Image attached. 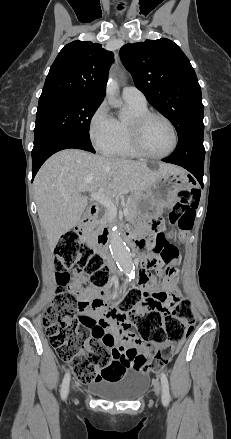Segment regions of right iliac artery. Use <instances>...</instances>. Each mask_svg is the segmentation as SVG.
Wrapping results in <instances>:
<instances>
[{
  "label": "right iliac artery",
  "mask_w": 231,
  "mask_h": 439,
  "mask_svg": "<svg viewBox=\"0 0 231 439\" xmlns=\"http://www.w3.org/2000/svg\"><path fill=\"white\" fill-rule=\"evenodd\" d=\"M69 383H70V373H66V375L64 376L62 385H61L62 399H65L67 397L68 390H69Z\"/></svg>",
  "instance_id": "82829eb1"
}]
</instances>
